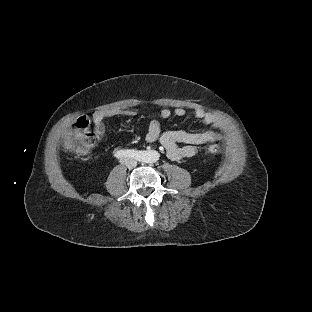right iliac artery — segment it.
I'll return each mask as SVG.
<instances>
[{"instance_id": "right-iliac-artery-1", "label": "right iliac artery", "mask_w": 312, "mask_h": 312, "mask_svg": "<svg viewBox=\"0 0 312 312\" xmlns=\"http://www.w3.org/2000/svg\"><path fill=\"white\" fill-rule=\"evenodd\" d=\"M126 156H128V154H127V151H124V150H120L115 153V157L117 158H123Z\"/></svg>"}]
</instances>
